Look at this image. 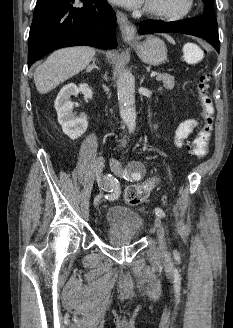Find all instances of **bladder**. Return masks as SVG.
<instances>
[{
  "label": "bladder",
  "instance_id": "bladder-1",
  "mask_svg": "<svg viewBox=\"0 0 233 328\" xmlns=\"http://www.w3.org/2000/svg\"><path fill=\"white\" fill-rule=\"evenodd\" d=\"M108 233L124 234L135 239L143 227L144 220L135 210L122 205L109 207L104 213Z\"/></svg>",
  "mask_w": 233,
  "mask_h": 328
}]
</instances>
